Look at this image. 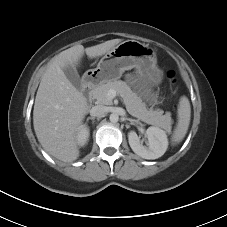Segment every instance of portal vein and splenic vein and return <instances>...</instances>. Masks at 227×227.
<instances>
[{"instance_id":"portal-vein-and-splenic-vein-1","label":"portal vein and splenic vein","mask_w":227,"mask_h":227,"mask_svg":"<svg viewBox=\"0 0 227 227\" xmlns=\"http://www.w3.org/2000/svg\"><path fill=\"white\" fill-rule=\"evenodd\" d=\"M117 92L114 90V89H110L109 91H108V97L110 98V99H114L116 96H117Z\"/></svg>"}]
</instances>
